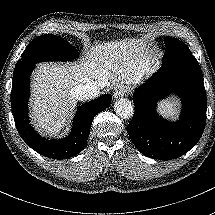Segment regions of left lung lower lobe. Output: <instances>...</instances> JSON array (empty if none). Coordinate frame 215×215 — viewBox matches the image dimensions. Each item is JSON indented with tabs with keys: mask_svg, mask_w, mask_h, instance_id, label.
<instances>
[{
	"mask_svg": "<svg viewBox=\"0 0 215 215\" xmlns=\"http://www.w3.org/2000/svg\"><path fill=\"white\" fill-rule=\"evenodd\" d=\"M162 67L133 94L135 113L127 129L136 148L159 159L178 158L199 141L206 123V91L201 68L193 55L162 62ZM182 100L177 122L156 112L157 102L170 93Z\"/></svg>",
	"mask_w": 215,
	"mask_h": 215,
	"instance_id": "left-lung-lower-lobe-1",
	"label": "left lung lower lobe"
}]
</instances>
